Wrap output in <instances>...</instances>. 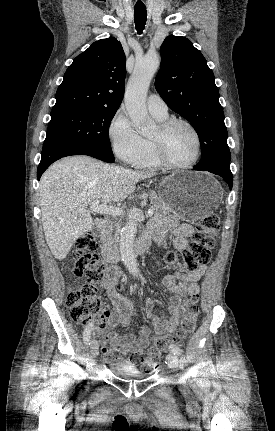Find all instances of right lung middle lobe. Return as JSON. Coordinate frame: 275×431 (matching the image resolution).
<instances>
[{
    "label": "right lung middle lobe",
    "mask_w": 275,
    "mask_h": 431,
    "mask_svg": "<svg viewBox=\"0 0 275 431\" xmlns=\"http://www.w3.org/2000/svg\"><path fill=\"white\" fill-rule=\"evenodd\" d=\"M117 109L85 108L51 113L44 145L84 143L112 153L109 124Z\"/></svg>",
    "instance_id": "dd1d6c3e"
}]
</instances>
